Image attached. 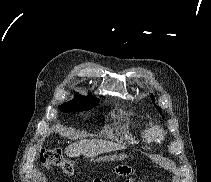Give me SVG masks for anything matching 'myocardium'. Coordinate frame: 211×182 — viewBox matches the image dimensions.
<instances>
[{"instance_id":"obj_1","label":"myocardium","mask_w":211,"mask_h":182,"mask_svg":"<svg viewBox=\"0 0 211 182\" xmlns=\"http://www.w3.org/2000/svg\"><path fill=\"white\" fill-rule=\"evenodd\" d=\"M164 138L163 130L156 125L150 126L147 129V139L152 142H159Z\"/></svg>"}]
</instances>
